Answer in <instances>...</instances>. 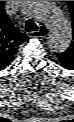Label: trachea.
Listing matches in <instances>:
<instances>
[{"mask_svg": "<svg viewBox=\"0 0 74 122\" xmlns=\"http://www.w3.org/2000/svg\"><path fill=\"white\" fill-rule=\"evenodd\" d=\"M25 30L27 32L38 31V26L36 25V23L33 20L29 19L25 22Z\"/></svg>", "mask_w": 74, "mask_h": 122, "instance_id": "3493384b", "label": "trachea"}]
</instances>
